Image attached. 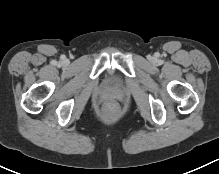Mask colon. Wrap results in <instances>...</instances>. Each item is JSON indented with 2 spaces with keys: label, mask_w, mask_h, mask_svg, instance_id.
<instances>
[{
  "label": "colon",
  "mask_w": 219,
  "mask_h": 174,
  "mask_svg": "<svg viewBox=\"0 0 219 174\" xmlns=\"http://www.w3.org/2000/svg\"><path fill=\"white\" fill-rule=\"evenodd\" d=\"M119 111H120L119 105L114 101H109L105 103L103 106V115L107 119H114L115 117H117Z\"/></svg>",
  "instance_id": "1"
}]
</instances>
